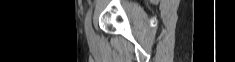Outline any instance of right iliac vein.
Segmentation results:
<instances>
[{
  "label": "right iliac vein",
  "mask_w": 235,
  "mask_h": 62,
  "mask_svg": "<svg viewBox=\"0 0 235 62\" xmlns=\"http://www.w3.org/2000/svg\"><path fill=\"white\" fill-rule=\"evenodd\" d=\"M88 38H89V39H93V38H94V32H93V30H92L91 33L88 35Z\"/></svg>",
  "instance_id": "63e3f726"
}]
</instances>
